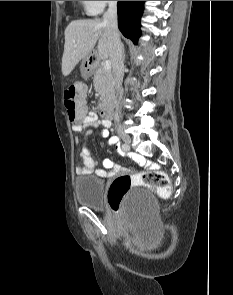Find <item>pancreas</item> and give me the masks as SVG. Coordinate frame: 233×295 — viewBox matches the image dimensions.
<instances>
[{
    "label": "pancreas",
    "mask_w": 233,
    "mask_h": 295,
    "mask_svg": "<svg viewBox=\"0 0 233 295\" xmlns=\"http://www.w3.org/2000/svg\"><path fill=\"white\" fill-rule=\"evenodd\" d=\"M93 84L102 99L110 98L113 93V74L111 70H105L102 65H99L94 74Z\"/></svg>",
    "instance_id": "1"
}]
</instances>
